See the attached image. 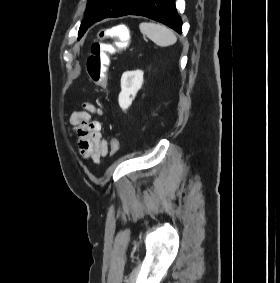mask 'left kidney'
<instances>
[{
    "mask_svg": "<svg viewBox=\"0 0 280 283\" xmlns=\"http://www.w3.org/2000/svg\"><path fill=\"white\" fill-rule=\"evenodd\" d=\"M143 71H126L121 77V92L118 102L122 110H126L132 104L137 92L143 84Z\"/></svg>",
    "mask_w": 280,
    "mask_h": 283,
    "instance_id": "1",
    "label": "left kidney"
}]
</instances>
